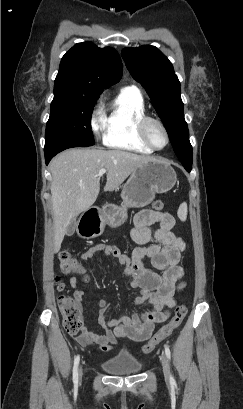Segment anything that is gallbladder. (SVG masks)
Wrapping results in <instances>:
<instances>
[{"mask_svg": "<svg viewBox=\"0 0 243 409\" xmlns=\"http://www.w3.org/2000/svg\"><path fill=\"white\" fill-rule=\"evenodd\" d=\"M76 229V218H73L66 229V235L72 236Z\"/></svg>", "mask_w": 243, "mask_h": 409, "instance_id": "1", "label": "gallbladder"}]
</instances>
